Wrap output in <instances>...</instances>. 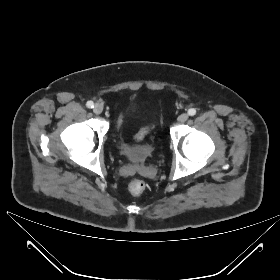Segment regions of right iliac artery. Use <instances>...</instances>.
I'll use <instances>...</instances> for the list:
<instances>
[{
  "instance_id": "1",
  "label": "right iliac artery",
  "mask_w": 280,
  "mask_h": 280,
  "mask_svg": "<svg viewBox=\"0 0 280 280\" xmlns=\"http://www.w3.org/2000/svg\"><path fill=\"white\" fill-rule=\"evenodd\" d=\"M86 106H87L88 108H93V107H94V103H93L92 101H88L87 104H86Z\"/></svg>"
}]
</instances>
